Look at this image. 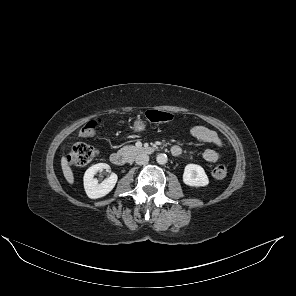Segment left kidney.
Instances as JSON below:
<instances>
[{
  "label": "left kidney",
  "instance_id": "left-kidney-1",
  "mask_svg": "<svg viewBox=\"0 0 296 296\" xmlns=\"http://www.w3.org/2000/svg\"><path fill=\"white\" fill-rule=\"evenodd\" d=\"M183 182L188 186L200 187L208 185L209 179L201 166L188 164L184 169Z\"/></svg>",
  "mask_w": 296,
  "mask_h": 296
}]
</instances>
